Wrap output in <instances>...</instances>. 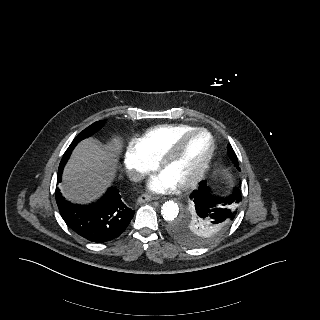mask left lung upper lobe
<instances>
[{
  "mask_svg": "<svg viewBox=\"0 0 320 320\" xmlns=\"http://www.w3.org/2000/svg\"><path fill=\"white\" fill-rule=\"evenodd\" d=\"M228 155L233 162V164L238 168V159L237 156L230 144H228ZM188 226L189 231H184L180 229L178 226H171V231L182 240H187V236L189 233H203L207 235V231L210 229L209 221L201 218L194 209H191L188 213Z\"/></svg>",
  "mask_w": 320,
  "mask_h": 320,
  "instance_id": "1",
  "label": "left lung upper lobe"
}]
</instances>
